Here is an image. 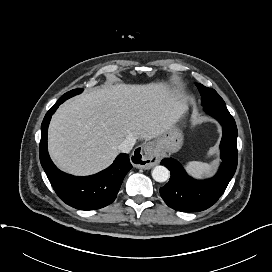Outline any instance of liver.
<instances>
[{"instance_id": "1", "label": "liver", "mask_w": 272, "mask_h": 272, "mask_svg": "<svg viewBox=\"0 0 272 272\" xmlns=\"http://www.w3.org/2000/svg\"><path fill=\"white\" fill-rule=\"evenodd\" d=\"M187 109L185 99L163 83L108 84L59 107L49 125L48 150L61 170L91 175L113 162L127 137L157 138Z\"/></svg>"}]
</instances>
